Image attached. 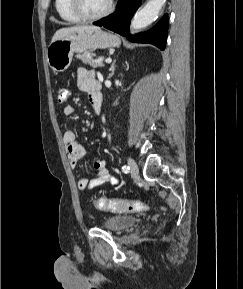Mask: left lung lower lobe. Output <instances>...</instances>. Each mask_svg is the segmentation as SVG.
<instances>
[{"label":"left lung lower lobe","instance_id":"0a47b994","mask_svg":"<svg viewBox=\"0 0 243 289\" xmlns=\"http://www.w3.org/2000/svg\"><path fill=\"white\" fill-rule=\"evenodd\" d=\"M141 5V0H119L115 12L106 18L94 22V25L104 26L122 36H125L131 42L150 43L164 50L166 46L168 32V15L165 14L162 19L149 31L130 35L129 25L135 11Z\"/></svg>","mask_w":243,"mask_h":289}]
</instances>
